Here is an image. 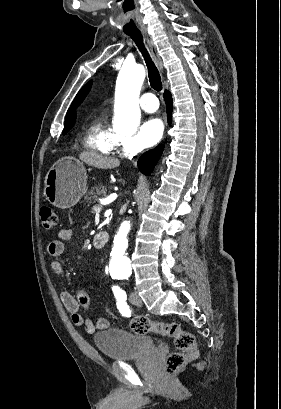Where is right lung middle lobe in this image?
<instances>
[{"instance_id": "dd1d6c3e", "label": "right lung middle lobe", "mask_w": 281, "mask_h": 409, "mask_svg": "<svg viewBox=\"0 0 281 409\" xmlns=\"http://www.w3.org/2000/svg\"><path fill=\"white\" fill-rule=\"evenodd\" d=\"M72 127L73 125H65L64 130H63V135H65Z\"/></svg>"}]
</instances>
